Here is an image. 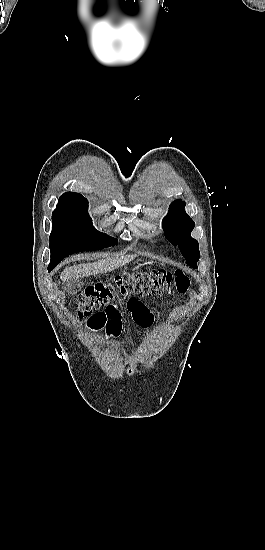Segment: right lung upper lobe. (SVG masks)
<instances>
[{
  "label": "right lung upper lobe",
  "mask_w": 265,
  "mask_h": 550,
  "mask_svg": "<svg viewBox=\"0 0 265 550\" xmlns=\"http://www.w3.org/2000/svg\"><path fill=\"white\" fill-rule=\"evenodd\" d=\"M86 198H84L81 194L79 193H74V192H67L65 194H63L60 199H59V203L58 204H61V203H72V202H79V201H82Z\"/></svg>",
  "instance_id": "1"
}]
</instances>
